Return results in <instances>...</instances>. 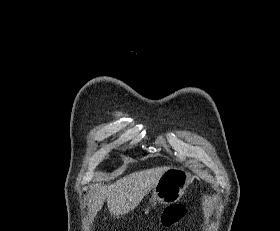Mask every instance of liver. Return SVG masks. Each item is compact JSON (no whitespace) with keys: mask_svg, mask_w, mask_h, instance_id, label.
I'll use <instances>...</instances> for the list:
<instances>
[{"mask_svg":"<svg viewBox=\"0 0 280 231\" xmlns=\"http://www.w3.org/2000/svg\"><path fill=\"white\" fill-rule=\"evenodd\" d=\"M170 169V167H152V169H143L129 173L121 179L114 181L109 185L107 195V205L110 213L114 215H124L128 211L135 209L139 201H142L144 195L149 193L152 187H155L161 175ZM103 195L99 191H93L90 205L94 211H99L103 203Z\"/></svg>","mask_w":280,"mask_h":231,"instance_id":"liver-1","label":"liver"}]
</instances>
